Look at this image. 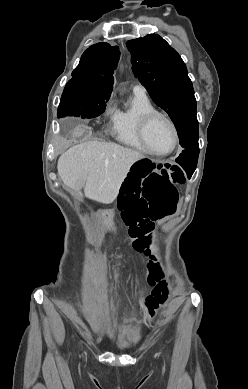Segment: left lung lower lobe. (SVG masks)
Instances as JSON below:
<instances>
[{"label": "left lung lower lobe", "instance_id": "obj_1", "mask_svg": "<svg viewBox=\"0 0 248 389\" xmlns=\"http://www.w3.org/2000/svg\"><path fill=\"white\" fill-rule=\"evenodd\" d=\"M183 132L190 136V139L198 138V121L196 113L190 114L183 121ZM199 155L198 144L196 146L185 149L175 160L186 172L190 178L194 173Z\"/></svg>", "mask_w": 248, "mask_h": 389}]
</instances>
